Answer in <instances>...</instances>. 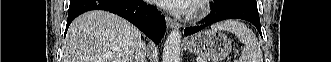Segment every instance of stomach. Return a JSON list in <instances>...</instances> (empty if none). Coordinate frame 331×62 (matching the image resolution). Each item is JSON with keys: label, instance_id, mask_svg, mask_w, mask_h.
Masks as SVG:
<instances>
[{"label": "stomach", "instance_id": "obj_1", "mask_svg": "<svg viewBox=\"0 0 331 62\" xmlns=\"http://www.w3.org/2000/svg\"><path fill=\"white\" fill-rule=\"evenodd\" d=\"M187 49L207 62H221L230 54L232 45L224 34L214 30H204L187 42Z\"/></svg>", "mask_w": 331, "mask_h": 62}]
</instances>
